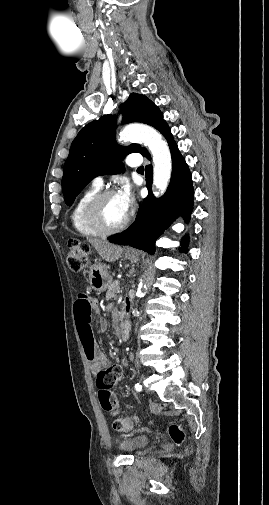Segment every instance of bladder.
<instances>
[{
	"mask_svg": "<svg viewBox=\"0 0 269 505\" xmlns=\"http://www.w3.org/2000/svg\"><path fill=\"white\" fill-rule=\"evenodd\" d=\"M150 443L146 436H136L120 443V449L127 453H136L145 449Z\"/></svg>",
	"mask_w": 269,
	"mask_h": 505,
	"instance_id": "bladder-1",
	"label": "bladder"
}]
</instances>
